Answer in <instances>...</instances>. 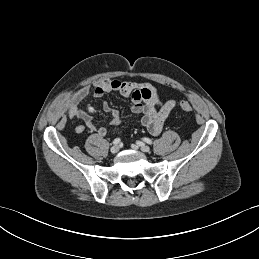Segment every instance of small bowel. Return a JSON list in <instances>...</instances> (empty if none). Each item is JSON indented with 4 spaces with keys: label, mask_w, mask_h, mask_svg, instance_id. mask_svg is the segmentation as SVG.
Returning <instances> with one entry per match:
<instances>
[{
    "label": "small bowel",
    "mask_w": 259,
    "mask_h": 259,
    "mask_svg": "<svg viewBox=\"0 0 259 259\" xmlns=\"http://www.w3.org/2000/svg\"><path fill=\"white\" fill-rule=\"evenodd\" d=\"M110 92H118L132 100V111L141 115L140 123L146 127L152 135H158L163 128L165 120L176 106L174 99L162 101L157 88L149 82L135 83L117 79H105L97 82L94 86L85 85L64 101V109L71 119H79L82 124L76 126V132L85 130L96 133L99 137L107 136L105 127H97L93 120V108L85 111L80 108V103L91 93L95 97H103ZM102 109L111 117L110 125L116 126L120 122V113L108 102H103ZM63 121V118L61 119Z\"/></svg>",
    "instance_id": "c3829d8e"
}]
</instances>
